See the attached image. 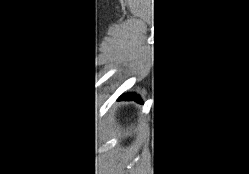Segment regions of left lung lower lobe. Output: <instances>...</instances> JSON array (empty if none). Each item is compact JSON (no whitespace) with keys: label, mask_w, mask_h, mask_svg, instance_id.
<instances>
[{"label":"left lung lower lobe","mask_w":249,"mask_h":174,"mask_svg":"<svg viewBox=\"0 0 249 174\" xmlns=\"http://www.w3.org/2000/svg\"><path fill=\"white\" fill-rule=\"evenodd\" d=\"M122 99H125V100H135L137 102H140L142 103V100L140 98V96H138L137 94L135 93H130V94H126V95H123L120 100Z\"/></svg>","instance_id":"left-lung-lower-lobe-1"}]
</instances>
